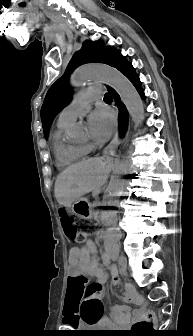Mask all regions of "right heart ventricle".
I'll return each instance as SVG.
<instances>
[{"label": "right heart ventricle", "instance_id": "right-heart-ventricle-1", "mask_svg": "<svg viewBox=\"0 0 193 336\" xmlns=\"http://www.w3.org/2000/svg\"><path fill=\"white\" fill-rule=\"evenodd\" d=\"M68 126L58 125L53 135L54 154L59 166L74 164L83 159L89 151V146L86 144L73 142L65 137Z\"/></svg>", "mask_w": 193, "mask_h": 336}]
</instances>
